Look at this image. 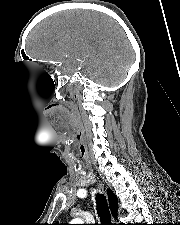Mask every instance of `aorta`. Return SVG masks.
I'll return each instance as SVG.
<instances>
[{"mask_svg": "<svg viewBox=\"0 0 180 225\" xmlns=\"http://www.w3.org/2000/svg\"><path fill=\"white\" fill-rule=\"evenodd\" d=\"M73 223H74V224H81V220L75 219V220H73Z\"/></svg>", "mask_w": 180, "mask_h": 225, "instance_id": "762f6f07", "label": "aorta"}]
</instances>
